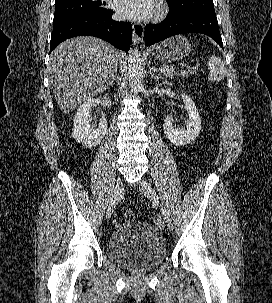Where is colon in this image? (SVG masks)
<instances>
[{
    "label": "colon",
    "instance_id": "obj_1",
    "mask_svg": "<svg viewBox=\"0 0 272 303\" xmlns=\"http://www.w3.org/2000/svg\"><path fill=\"white\" fill-rule=\"evenodd\" d=\"M176 74L180 77H190L193 75V71L189 69H178ZM123 218L125 221H132L134 219V213L130 209H126L123 213Z\"/></svg>",
    "mask_w": 272,
    "mask_h": 303
}]
</instances>
